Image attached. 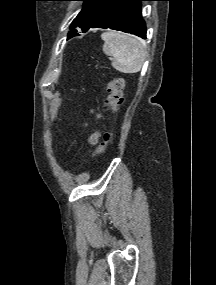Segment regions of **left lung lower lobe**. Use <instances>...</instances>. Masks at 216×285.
Instances as JSON below:
<instances>
[{"instance_id":"obj_1","label":"left lung lower lobe","mask_w":216,"mask_h":285,"mask_svg":"<svg viewBox=\"0 0 216 285\" xmlns=\"http://www.w3.org/2000/svg\"><path fill=\"white\" fill-rule=\"evenodd\" d=\"M142 1L148 0H117L101 13L89 27L81 31L84 33L89 28H110L135 34L145 39L146 25L141 15ZM76 35H78L76 31L72 32L68 38Z\"/></svg>"}]
</instances>
